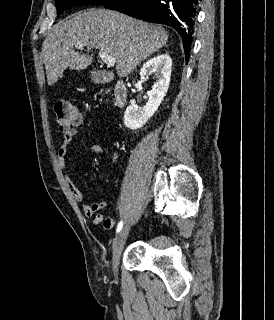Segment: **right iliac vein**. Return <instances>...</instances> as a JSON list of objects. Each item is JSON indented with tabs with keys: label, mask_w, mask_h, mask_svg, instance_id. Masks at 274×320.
I'll list each match as a JSON object with an SVG mask.
<instances>
[{
	"label": "right iliac vein",
	"mask_w": 274,
	"mask_h": 320,
	"mask_svg": "<svg viewBox=\"0 0 274 320\" xmlns=\"http://www.w3.org/2000/svg\"><path fill=\"white\" fill-rule=\"evenodd\" d=\"M129 230H130V225L126 224L120 231L119 235L116 237L113 244L112 270L115 276H117L118 274L119 260H120V256L123 250V246L125 244V240L128 236Z\"/></svg>",
	"instance_id": "1"
}]
</instances>
